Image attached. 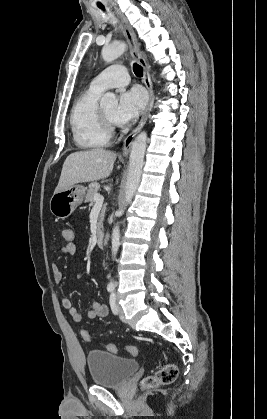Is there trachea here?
<instances>
[{
	"label": "trachea",
	"mask_w": 267,
	"mask_h": 419,
	"mask_svg": "<svg viewBox=\"0 0 267 419\" xmlns=\"http://www.w3.org/2000/svg\"><path fill=\"white\" fill-rule=\"evenodd\" d=\"M100 8L102 10H105L104 7H102V6H100ZM133 71H134L136 76H138V77L143 76V68L139 64H137V63L133 64Z\"/></svg>",
	"instance_id": "obj_1"
}]
</instances>
